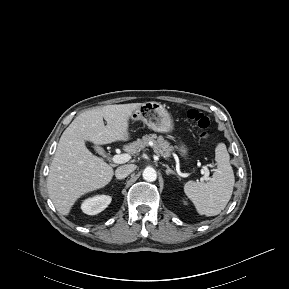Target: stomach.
<instances>
[{
    "label": "stomach",
    "instance_id": "1",
    "mask_svg": "<svg viewBox=\"0 0 289 289\" xmlns=\"http://www.w3.org/2000/svg\"><path fill=\"white\" fill-rule=\"evenodd\" d=\"M130 118L134 121H143L154 132L170 133L174 130V122L171 115L159 102L143 103L132 113ZM179 151L184 157L188 154V148L183 143L180 144Z\"/></svg>",
    "mask_w": 289,
    "mask_h": 289
}]
</instances>
